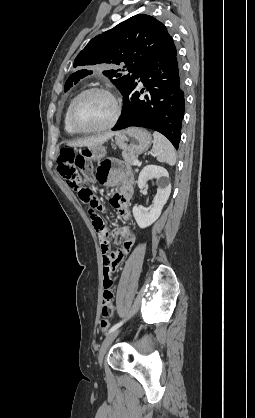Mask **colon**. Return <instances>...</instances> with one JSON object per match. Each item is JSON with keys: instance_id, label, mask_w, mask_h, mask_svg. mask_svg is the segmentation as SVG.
<instances>
[{"instance_id": "1", "label": "colon", "mask_w": 255, "mask_h": 418, "mask_svg": "<svg viewBox=\"0 0 255 418\" xmlns=\"http://www.w3.org/2000/svg\"><path fill=\"white\" fill-rule=\"evenodd\" d=\"M59 174L68 182L69 186L78 192L81 201L88 205L89 213L96 230L105 227L96 210L99 207L98 197L82 184L83 180H90L94 176V168L84 158L76 156L70 148H62L57 160ZM97 176V174H96ZM109 327L108 320L100 321V329L106 331Z\"/></svg>"}]
</instances>
